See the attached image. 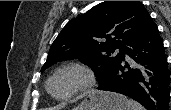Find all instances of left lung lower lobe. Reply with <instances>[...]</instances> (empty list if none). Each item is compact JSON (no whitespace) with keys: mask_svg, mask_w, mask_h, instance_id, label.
Wrapping results in <instances>:
<instances>
[{"mask_svg":"<svg viewBox=\"0 0 171 110\" xmlns=\"http://www.w3.org/2000/svg\"><path fill=\"white\" fill-rule=\"evenodd\" d=\"M125 53L136 63L135 67L125 62ZM98 89L124 94L147 110H169L170 71L162 38L151 17L126 47L114 72Z\"/></svg>","mask_w":171,"mask_h":110,"instance_id":"1","label":"left lung lower lobe"}]
</instances>
